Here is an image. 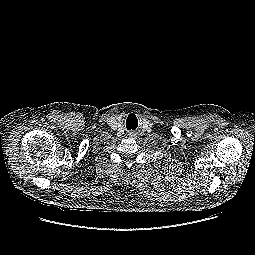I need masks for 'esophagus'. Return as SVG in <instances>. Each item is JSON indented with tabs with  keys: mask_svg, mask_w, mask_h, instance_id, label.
<instances>
[{
	"mask_svg": "<svg viewBox=\"0 0 255 255\" xmlns=\"http://www.w3.org/2000/svg\"><path fill=\"white\" fill-rule=\"evenodd\" d=\"M129 136L135 137V134L133 132L129 133Z\"/></svg>",
	"mask_w": 255,
	"mask_h": 255,
	"instance_id": "34e87169",
	"label": "esophagus"
}]
</instances>
